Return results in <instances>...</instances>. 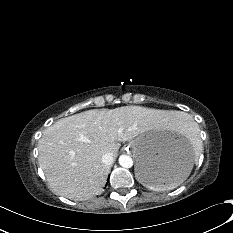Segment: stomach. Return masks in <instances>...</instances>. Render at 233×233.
Returning <instances> with one entry per match:
<instances>
[{"instance_id":"0dacf381","label":"stomach","mask_w":233,"mask_h":233,"mask_svg":"<svg viewBox=\"0 0 233 233\" xmlns=\"http://www.w3.org/2000/svg\"><path fill=\"white\" fill-rule=\"evenodd\" d=\"M130 147L136 159V177L150 189L172 186L187 177L193 167L190 145L161 130L144 132L130 142Z\"/></svg>"}]
</instances>
